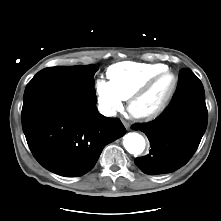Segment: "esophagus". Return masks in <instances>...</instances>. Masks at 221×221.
<instances>
[{"label": "esophagus", "mask_w": 221, "mask_h": 221, "mask_svg": "<svg viewBox=\"0 0 221 221\" xmlns=\"http://www.w3.org/2000/svg\"><path fill=\"white\" fill-rule=\"evenodd\" d=\"M122 123H123V125L125 126V128H126L127 130L130 129V124H129L127 121L122 120Z\"/></svg>", "instance_id": "1"}]
</instances>
